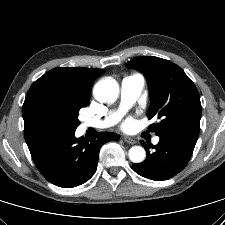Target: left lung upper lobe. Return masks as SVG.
<instances>
[{
	"label": "left lung upper lobe",
	"mask_w": 225,
	"mask_h": 225,
	"mask_svg": "<svg viewBox=\"0 0 225 225\" xmlns=\"http://www.w3.org/2000/svg\"><path fill=\"white\" fill-rule=\"evenodd\" d=\"M141 71L150 91L149 119L157 116L156 135H169L196 144L201 118V103L197 88L184 71L171 61L144 56L126 64Z\"/></svg>",
	"instance_id": "left-lung-upper-lobe-1"
}]
</instances>
